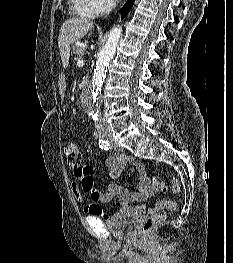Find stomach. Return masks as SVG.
Wrapping results in <instances>:
<instances>
[{
    "instance_id": "1",
    "label": "stomach",
    "mask_w": 233,
    "mask_h": 263,
    "mask_svg": "<svg viewBox=\"0 0 233 263\" xmlns=\"http://www.w3.org/2000/svg\"><path fill=\"white\" fill-rule=\"evenodd\" d=\"M56 82H59V90L60 91H67L68 88H70V83H68V81L66 80L65 77H56L55 78Z\"/></svg>"
}]
</instances>
